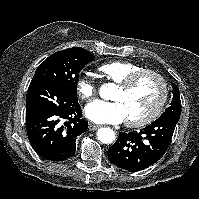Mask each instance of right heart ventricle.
Here are the masks:
<instances>
[{"mask_svg":"<svg viewBox=\"0 0 199 199\" xmlns=\"http://www.w3.org/2000/svg\"><path fill=\"white\" fill-rule=\"evenodd\" d=\"M98 69L107 79L120 83L143 67L129 61L115 60L100 65Z\"/></svg>","mask_w":199,"mask_h":199,"instance_id":"right-heart-ventricle-1","label":"right heart ventricle"}]
</instances>
